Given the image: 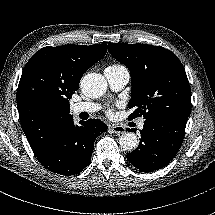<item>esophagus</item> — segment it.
<instances>
[{
	"label": "esophagus",
	"mask_w": 215,
	"mask_h": 215,
	"mask_svg": "<svg viewBox=\"0 0 215 215\" xmlns=\"http://www.w3.org/2000/svg\"><path fill=\"white\" fill-rule=\"evenodd\" d=\"M109 128L115 133V134H124L126 132V129L124 126L122 125H118V124H110Z\"/></svg>",
	"instance_id": "esophagus-1"
}]
</instances>
